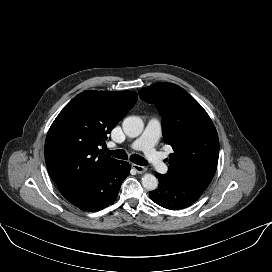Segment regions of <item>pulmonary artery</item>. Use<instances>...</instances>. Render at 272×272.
<instances>
[{
  "label": "pulmonary artery",
  "instance_id": "1",
  "mask_svg": "<svg viewBox=\"0 0 272 272\" xmlns=\"http://www.w3.org/2000/svg\"><path fill=\"white\" fill-rule=\"evenodd\" d=\"M161 132V122L158 118H151L146 128L136 141L131 144L133 150H141L144 152L147 160L155 167L159 172H166L167 166L163 161V157L160 152L155 149V145L158 141Z\"/></svg>",
  "mask_w": 272,
  "mask_h": 272
}]
</instances>
